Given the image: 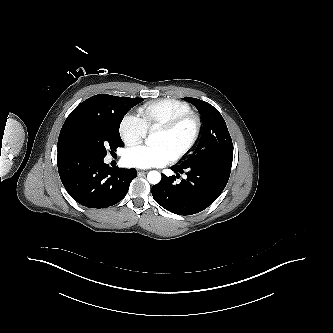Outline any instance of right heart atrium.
<instances>
[{
  "label": "right heart atrium",
  "mask_w": 333,
  "mask_h": 333,
  "mask_svg": "<svg viewBox=\"0 0 333 333\" xmlns=\"http://www.w3.org/2000/svg\"><path fill=\"white\" fill-rule=\"evenodd\" d=\"M146 134L147 129L139 116L132 113L123 116L119 124V135L126 145L140 143Z\"/></svg>",
  "instance_id": "1"
}]
</instances>
